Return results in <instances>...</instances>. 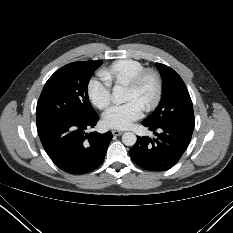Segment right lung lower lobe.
Wrapping results in <instances>:
<instances>
[{
	"instance_id": "right-lung-lower-lobe-1",
	"label": "right lung lower lobe",
	"mask_w": 233,
	"mask_h": 233,
	"mask_svg": "<svg viewBox=\"0 0 233 233\" xmlns=\"http://www.w3.org/2000/svg\"><path fill=\"white\" fill-rule=\"evenodd\" d=\"M99 116L80 119L49 120L37 125L42 145L54 164L71 174H86L103 162L112 133H85Z\"/></svg>"
}]
</instances>
